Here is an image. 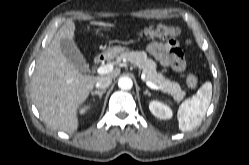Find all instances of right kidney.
<instances>
[{"label": "right kidney", "instance_id": "ca27d5eb", "mask_svg": "<svg viewBox=\"0 0 249 165\" xmlns=\"http://www.w3.org/2000/svg\"><path fill=\"white\" fill-rule=\"evenodd\" d=\"M85 110L83 109V110H81V113H83Z\"/></svg>", "mask_w": 249, "mask_h": 165}]
</instances>
